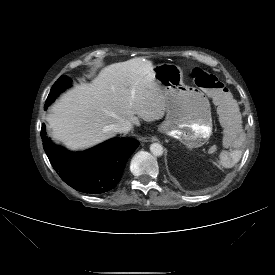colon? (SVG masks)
I'll return each mask as SVG.
<instances>
[{
	"mask_svg": "<svg viewBox=\"0 0 275 275\" xmlns=\"http://www.w3.org/2000/svg\"><path fill=\"white\" fill-rule=\"evenodd\" d=\"M192 77L195 84L205 90L218 106L228 101V90L215 75L200 67H195L192 71Z\"/></svg>",
	"mask_w": 275,
	"mask_h": 275,
	"instance_id": "5ec220e1",
	"label": "colon"
}]
</instances>
